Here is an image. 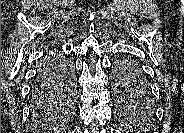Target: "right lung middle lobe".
<instances>
[{"label": "right lung middle lobe", "mask_w": 184, "mask_h": 133, "mask_svg": "<svg viewBox=\"0 0 184 133\" xmlns=\"http://www.w3.org/2000/svg\"><path fill=\"white\" fill-rule=\"evenodd\" d=\"M72 82L69 62L54 54L47 55L39 65L31 92L34 115L42 116L65 103V94H68Z\"/></svg>", "instance_id": "right-lung-middle-lobe-1"}]
</instances>
